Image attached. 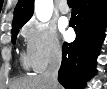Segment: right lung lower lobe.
<instances>
[{
	"instance_id": "1",
	"label": "right lung lower lobe",
	"mask_w": 107,
	"mask_h": 89,
	"mask_svg": "<svg viewBox=\"0 0 107 89\" xmlns=\"http://www.w3.org/2000/svg\"><path fill=\"white\" fill-rule=\"evenodd\" d=\"M106 0H74L70 26L76 40L64 43L58 81L66 89H82L96 73V59L105 38Z\"/></svg>"
}]
</instances>
